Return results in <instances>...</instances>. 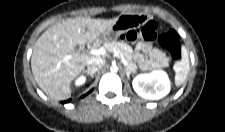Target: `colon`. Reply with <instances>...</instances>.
<instances>
[{
  "label": "colon",
  "mask_w": 225,
  "mask_h": 132,
  "mask_svg": "<svg viewBox=\"0 0 225 132\" xmlns=\"http://www.w3.org/2000/svg\"><path fill=\"white\" fill-rule=\"evenodd\" d=\"M157 25L154 21H147L138 27L129 30L123 35L124 38L135 41L137 39H143L147 41L154 40L157 37L156 34ZM159 44L165 48L173 59H179L181 55L180 39L178 34L173 31H167L162 33L158 38Z\"/></svg>",
  "instance_id": "obj_1"
}]
</instances>
